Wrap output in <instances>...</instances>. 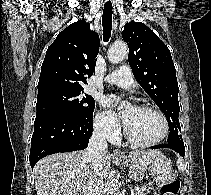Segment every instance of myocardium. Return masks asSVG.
Here are the masks:
<instances>
[{
	"label": "myocardium",
	"instance_id": "f54148a6",
	"mask_svg": "<svg viewBox=\"0 0 211 195\" xmlns=\"http://www.w3.org/2000/svg\"><path fill=\"white\" fill-rule=\"evenodd\" d=\"M135 108H137L139 110H147V111H153V112L157 113L163 122V133L156 140L149 141V142H142V141L137 140L130 134V132L127 129L126 124L124 123L123 132H124L126 139L131 144H133L135 146H139V147H150V146H155V145L161 143L167 137V135L169 133V123H168V119H167L166 115L164 114V112L161 111L159 108L150 106V105H138Z\"/></svg>",
	"mask_w": 211,
	"mask_h": 195
}]
</instances>
